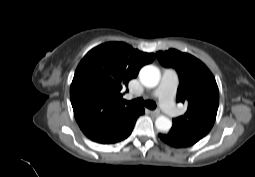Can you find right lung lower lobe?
Listing matches in <instances>:
<instances>
[{"label":"right lung lower lobe","mask_w":255,"mask_h":177,"mask_svg":"<svg viewBox=\"0 0 255 177\" xmlns=\"http://www.w3.org/2000/svg\"><path fill=\"white\" fill-rule=\"evenodd\" d=\"M143 113V108H132L116 115L85 135L92 141L101 144L120 142L131 134L137 118Z\"/></svg>","instance_id":"1"}]
</instances>
